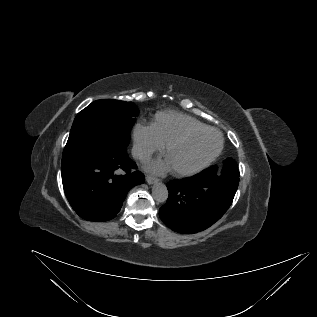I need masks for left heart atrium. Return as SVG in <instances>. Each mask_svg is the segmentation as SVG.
<instances>
[{"label":"left heart atrium","instance_id":"obj_1","mask_svg":"<svg viewBox=\"0 0 317 317\" xmlns=\"http://www.w3.org/2000/svg\"><path fill=\"white\" fill-rule=\"evenodd\" d=\"M148 168L158 173H164L171 169L165 158H159L151 162Z\"/></svg>","mask_w":317,"mask_h":317}]
</instances>
